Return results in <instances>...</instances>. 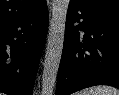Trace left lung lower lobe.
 Listing matches in <instances>:
<instances>
[{"mask_svg": "<svg viewBox=\"0 0 119 95\" xmlns=\"http://www.w3.org/2000/svg\"><path fill=\"white\" fill-rule=\"evenodd\" d=\"M94 85L119 88V17L70 0L56 95Z\"/></svg>", "mask_w": 119, "mask_h": 95, "instance_id": "left-lung-lower-lobe-1", "label": "left lung lower lobe"}]
</instances>
